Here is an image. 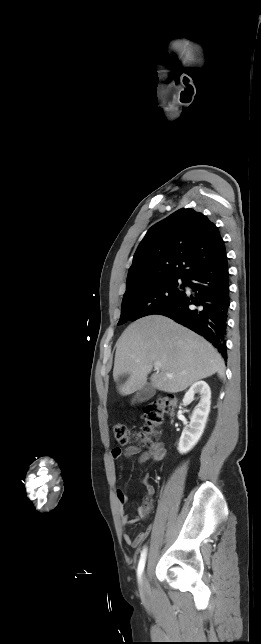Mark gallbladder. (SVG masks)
Returning a JSON list of instances; mask_svg holds the SVG:
<instances>
[{
    "instance_id": "gallbladder-1",
    "label": "gallbladder",
    "mask_w": 261,
    "mask_h": 644,
    "mask_svg": "<svg viewBox=\"0 0 261 644\" xmlns=\"http://www.w3.org/2000/svg\"><path fill=\"white\" fill-rule=\"evenodd\" d=\"M155 393H156L155 388L151 384H146L140 390H138V392L132 399V404L145 402L150 398H152L155 395Z\"/></svg>"
}]
</instances>
